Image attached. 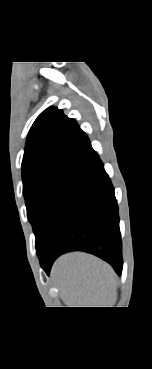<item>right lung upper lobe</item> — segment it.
<instances>
[{
	"mask_svg": "<svg viewBox=\"0 0 152 369\" xmlns=\"http://www.w3.org/2000/svg\"><path fill=\"white\" fill-rule=\"evenodd\" d=\"M93 152L87 135L62 110L49 107L30 128L22 161V176L60 163L80 164Z\"/></svg>",
	"mask_w": 152,
	"mask_h": 369,
	"instance_id": "obj_1",
	"label": "right lung upper lobe"
}]
</instances>
